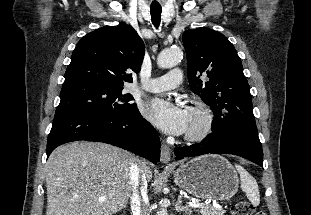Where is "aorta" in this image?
<instances>
[{"label":"aorta","mask_w":311,"mask_h":215,"mask_svg":"<svg viewBox=\"0 0 311 215\" xmlns=\"http://www.w3.org/2000/svg\"><path fill=\"white\" fill-rule=\"evenodd\" d=\"M183 56L182 50L179 47L163 50L157 59V64L161 68H171L176 66ZM162 204L161 210L157 212V215H167V210Z\"/></svg>","instance_id":"aorta-1"}]
</instances>
